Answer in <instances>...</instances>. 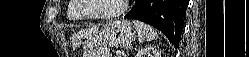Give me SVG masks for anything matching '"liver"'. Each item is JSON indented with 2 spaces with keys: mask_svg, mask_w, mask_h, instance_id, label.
I'll return each mask as SVG.
<instances>
[{
  "mask_svg": "<svg viewBox=\"0 0 249 57\" xmlns=\"http://www.w3.org/2000/svg\"><path fill=\"white\" fill-rule=\"evenodd\" d=\"M97 31V28H91V29H84V30H81L78 35H80V37H86V36H89L93 33H95Z\"/></svg>",
  "mask_w": 249,
  "mask_h": 57,
  "instance_id": "1",
  "label": "liver"
}]
</instances>
